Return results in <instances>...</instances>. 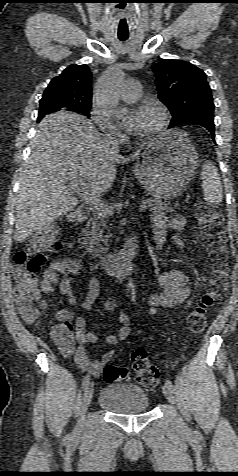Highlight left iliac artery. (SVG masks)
<instances>
[{
    "label": "left iliac artery",
    "mask_w": 238,
    "mask_h": 476,
    "mask_svg": "<svg viewBox=\"0 0 238 476\" xmlns=\"http://www.w3.org/2000/svg\"><path fill=\"white\" fill-rule=\"evenodd\" d=\"M166 384L169 385V387L174 391V386L169 379L166 380Z\"/></svg>",
    "instance_id": "obj_1"
}]
</instances>
